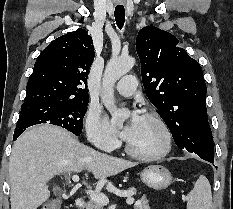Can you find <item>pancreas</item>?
I'll return each instance as SVG.
<instances>
[{
  "instance_id": "obj_1",
  "label": "pancreas",
  "mask_w": 233,
  "mask_h": 209,
  "mask_svg": "<svg viewBox=\"0 0 233 209\" xmlns=\"http://www.w3.org/2000/svg\"><path fill=\"white\" fill-rule=\"evenodd\" d=\"M135 209H150L149 207V201L146 199L145 196H143L135 205ZM85 209H104V205L98 204L92 199H90L86 204H85Z\"/></svg>"
}]
</instances>
